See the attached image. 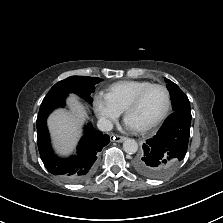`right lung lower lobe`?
Instances as JSON below:
<instances>
[{
	"label": "right lung lower lobe",
	"mask_w": 223,
	"mask_h": 223,
	"mask_svg": "<svg viewBox=\"0 0 223 223\" xmlns=\"http://www.w3.org/2000/svg\"><path fill=\"white\" fill-rule=\"evenodd\" d=\"M64 105L65 97L40 107L36 121L38 149L49 172L66 182L78 183L93 173L97 155L109 143V136L88 124L77 148V155L69 159L57 157L51 148L46 119L55 108Z\"/></svg>",
	"instance_id": "obj_1"
}]
</instances>
